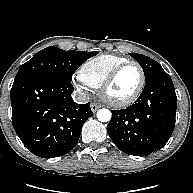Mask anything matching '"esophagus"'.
I'll return each mask as SVG.
<instances>
[{
    "label": "esophagus",
    "instance_id": "esophagus-1",
    "mask_svg": "<svg viewBox=\"0 0 193 193\" xmlns=\"http://www.w3.org/2000/svg\"><path fill=\"white\" fill-rule=\"evenodd\" d=\"M100 107H101V106L98 105V104H96V103H92V104H91V110H92L93 112H96Z\"/></svg>",
    "mask_w": 193,
    "mask_h": 193
}]
</instances>
